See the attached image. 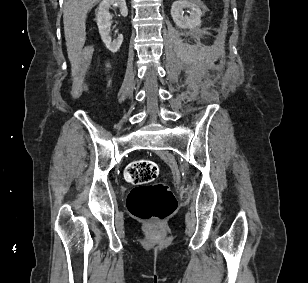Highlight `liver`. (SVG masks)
Listing matches in <instances>:
<instances>
[{"instance_id": "liver-1", "label": "liver", "mask_w": 308, "mask_h": 283, "mask_svg": "<svg viewBox=\"0 0 308 283\" xmlns=\"http://www.w3.org/2000/svg\"><path fill=\"white\" fill-rule=\"evenodd\" d=\"M99 0H65L63 24L68 57L73 63L82 51L86 40V16Z\"/></svg>"}]
</instances>
